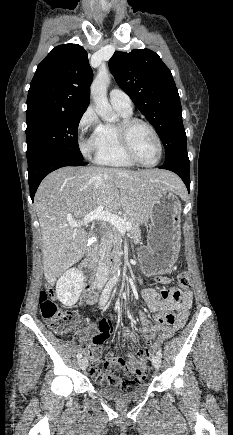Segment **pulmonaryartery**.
Returning <instances> with one entry per match:
<instances>
[{
    "label": "pulmonary artery",
    "instance_id": "1",
    "mask_svg": "<svg viewBox=\"0 0 233 435\" xmlns=\"http://www.w3.org/2000/svg\"><path fill=\"white\" fill-rule=\"evenodd\" d=\"M110 102L114 107L125 111H132V102L130 97L120 89H113L109 93Z\"/></svg>",
    "mask_w": 233,
    "mask_h": 435
}]
</instances>
